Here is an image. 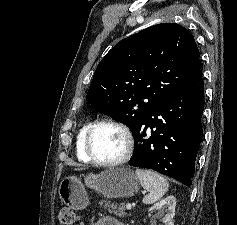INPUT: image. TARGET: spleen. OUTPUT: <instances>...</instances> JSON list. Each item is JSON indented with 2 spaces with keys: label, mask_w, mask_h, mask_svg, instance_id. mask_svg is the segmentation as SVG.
Listing matches in <instances>:
<instances>
[{
  "label": "spleen",
  "mask_w": 237,
  "mask_h": 225,
  "mask_svg": "<svg viewBox=\"0 0 237 225\" xmlns=\"http://www.w3.org/2000/svg\"><path fill=\"white\" fill-rule=\"evenodd\" d=\"M136 176L143 188L149 191L144 196L143 203L152 204L160 200L169 188L168 181L156 172L144 169H136Z\"/></svg>",
  "instance_id": "1"
}]
</instances>
